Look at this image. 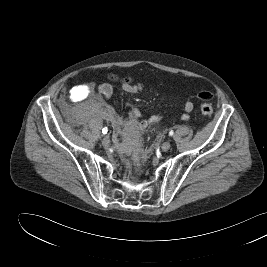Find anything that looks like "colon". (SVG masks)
Returning <instances> with one entry per match:
<instances>
[{"instance_id":"1","label":"colon","mask_w":267,"mask_h":267,"mask_svg":"<svg viewBox=\"0 0 267 267\" xmlns=\"http://www.w3.org/2000/svg\"><path fill=\"white\" fill-rule=\"evenodd\" d=\"M112 80H117V78L115 76H111ZM123 83L124 84H130L131 80L129 78H125L123 79ZM198 98L201 101L200 104V111L202 113V115L206 116V117H210L213 114V109L211 106V100L213 99V95L210 92H201L198 95Z\"/></svg>"}]
</instances>
